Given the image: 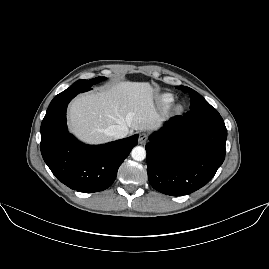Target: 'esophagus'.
<instances>
[{
	"label": "esophagus",
	"mask_w": 269,
	"mask_h": 269,
	"mask_svg": "<svg viewBox=\"0 0 269 269\" xmlns=\"http://www.w3.org/2000/svg\"><path fill=\"white\" fill-rule=\"evenodd\" d=\"M148 141V137L145 133L140 134L139 136V144L145 145Z\"/></svg>",
	"instance_id": "1"
}]
</instances>
